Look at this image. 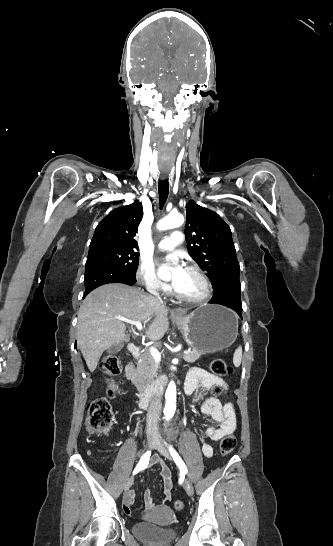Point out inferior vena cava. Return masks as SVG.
Listing matches in <instances>:
<instances>
[{"label": "inferior vena cava", "instance_id": "inferior-vena-cava-1", "mask_svg": "<svg viewBox=\"0 0 333 546\" xmlns=\"http://www.w3.org/2000/svg\"><path fill=\"white\" fill-rule=\"evenodd\" d=\"M158 288H159V281H152L151 283L148 284V287H147L148 291L151 294L157 296L159 301L162 303V300L157 291ZM160 411H161V399L155 398L154 400L151 401L150 406L148 408V412H147V430L149 432L158 431V421H159Z\"/></svg>", "mask_w": 333, "mask_h": 546}]
</instances>
